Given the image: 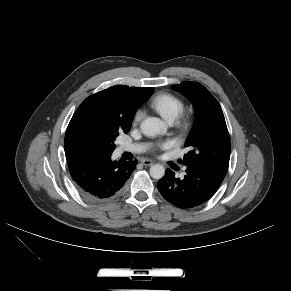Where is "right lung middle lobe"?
Segmentation results:
<instances>
[{
  "mask_svg": "<svg viewBox=\"0 0 291 291\" xmlns=\"http://www.w3.org/2000/svg\"><path fill=\"white\" fill-rule=\"evenodd\" d=\"M130 125L102 117L79 115L73 116L66 136L72 145L82 153H112L115 138L120 132L127 133Z\"/></svg>",
  "mask_w": 291,
  "mask_h": 291,
  "instance_id": "1",
  "label": "right lung middle lobe"
}]
</instances>
